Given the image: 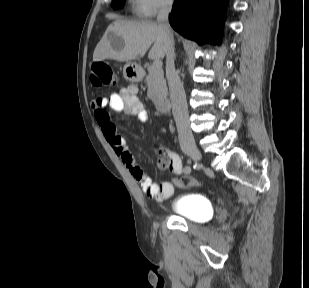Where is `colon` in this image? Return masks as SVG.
Here are the masks:
<instances>
[{"mask_svg":"<svg viewBox=\"0 0 309 288\" xmlns=\"http://www.w3.org/2000/svg\"><path fill=\"white\" fill-rule=\"evenodd\" d=\"M93 83L99 86H113L116 83L114 70L106 64L98 63L94 66ZM174 184L182 188L199 186V180L191 177H181L174 180Z\"/></svg>","mask_w":309,"mask_h":288,"instance_id":"obj_1","label":"colon"}]
</instances>
